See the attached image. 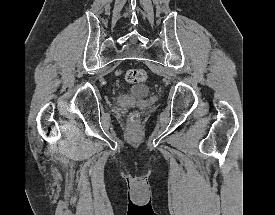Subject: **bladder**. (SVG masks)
Here are the masks:
<instances>
[{
	"mask_svg": "<svg viewBox=\"0 0 275 215\" xmlns=\"http://www.w3.org/2000/svg\"><path fill=\"white\" fill-rule=\"evenodd\" d=\"M150 89L146 86L135 85L131 88V93L138 97H145L149 94Z\"/></svg>",
	"mask_w": 275,
	"mask_h": 215,
	"instance_id": "obj_1",
	"label": "bladder"
}]
</instances>
